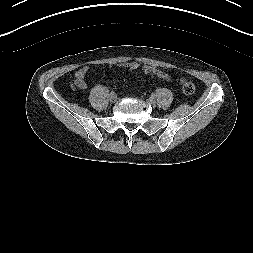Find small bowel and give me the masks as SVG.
Returning <instances> with one entry per match:
<instances>
[{
	"label": "small bowel",
	"instance_id": "small-bowel-1",
	"mask_svg": "<svg viewBox=\"0 0 253 253\" xmlns=\"http://www.w3.org/2000/svg\"><path fill=\"white\" fill-rule=\"evenodd\" d=\"M123 66L127 67L131 71H135L139 67L138 63H136V62H128V63H125ZM88 72H89V67H87V66H84L76 71L75 85L79 89H86L87 88L86 77L88 75ZM143 72L148 75H153V76L163 78L165 80H170V75L168 73L164 72L161 69L155 68V67L144 66Z\"/></svg>",
	"mask_w": 253,
	"mask_h": 253
}]
</instances>
